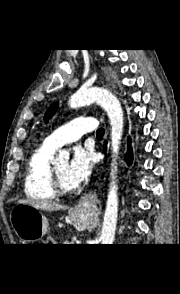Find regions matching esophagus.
Wrapping results in <instances>:
<instances>
[{
  "mask_svg": "<svg viewBox=\"0 0 180 294\" xmlns=\"http://www.w3.org/2000/svg\"><path fill=\"white\" fill-rule=\"evenodd\" d=\"M74 213L98 216L100 214V208L97 193L92 190L85 193L76 204Z\"/></svg>",
  "mask_w": 180,
  "mask_h": 294,
  "instance_id": "obj_1",
  "label": "esophagus"
}]
</instances>
